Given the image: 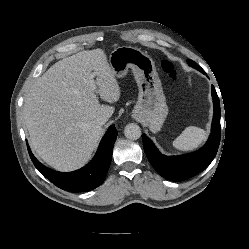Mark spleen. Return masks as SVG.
Returning a JSON list of instances; mask_svg holds the SVG:
<instances>
[{"mask_svg":"<svg viewBox=\"0 0 249 249\" xmlns=\"http://www.w3.org/2000/svg\"><path fill=\"white\" fill-rule=\"evenodd\" d=\"M206 139V132L195 126H189L173 141V146L182 151L197 148Z\"/></svg>","mask_w":249,"mask_h":249,"instance_id":"1","label":"spleen"}]
</instances>
